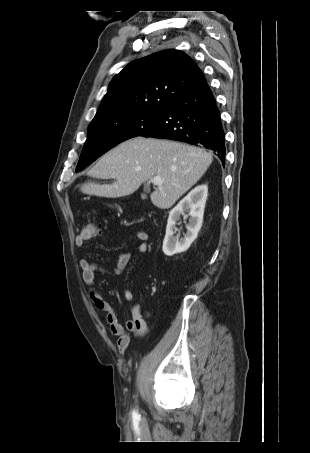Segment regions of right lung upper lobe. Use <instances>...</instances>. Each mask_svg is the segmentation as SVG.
Returning a JSON list of instances; mask_svg holds the SVG:
<instances>
[{"instance_id": "obj_1", "label": "right lung upper lobe", "mask_w": 310, "mask_h": 453, "mask_svg": "<svg viewBox=\"0 0 310 453\" xmlns=\"http://www.w3.org/2000/svg\"><path fill=\"white\" fill-rule=\"evenodd\" d=\"M203 79L185 53L175 49L154 53L130 63L112 79L93 120L121 112L163 111Z\"/></svg>"}]
</instances>
